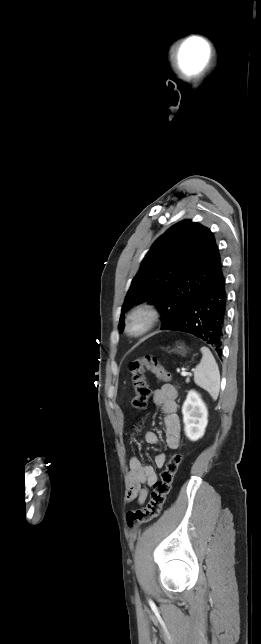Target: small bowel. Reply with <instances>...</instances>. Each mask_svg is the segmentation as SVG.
I'll list each match as a JSON object with an SVG mask.
<instances>
[{
    "mask_svg": "<svg viewBox=\"0 0 261 644\" xmlns=\"http://www.w3.org/2000/svg\"><path fill=\"white\" fill-rule=\"evenodd\" d=\"M178 393L174 386L165 384L161 388L154 390L152 394V403L160 407L165 415L164 417V434L166 445L169 449H177L180 445L181 424L177 414ZM145 441L150 445H156L159 442L158 434L155 431H148L145 434ZM167 460V454L158 453L155 456V465L162 468ZM158 480L155 468L145 464L138 457H131L129 460L128 471V491L127 501L136 500L138 504L143 505L148 497V487H151Z\"/></svg>",
    "mask_w": 261,
    "mask_h": 644,
    "instance_id": "obj_1",
    "label": "small bowel"
}]
</instances>
